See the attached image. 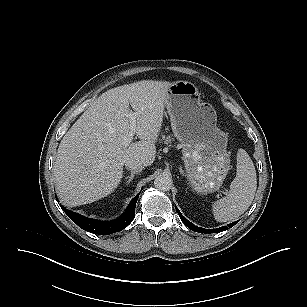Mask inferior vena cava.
<instances>
[{"label": "inferior vena cava", "instance_id": "inferior-vena-cava-1", "mask_svg": "<svg viewBox=\"0 0 307 307\" xmlns=\"http://www.w3.org/2000/svg\"><path fill=\"white\" fill-rule=\"evenodd\" d=\"M125 166L126 168L130 169L131 171L134 172H141L144 169V164L143 162L135 159H128L125 161Z\"/></svg>", "mask_w": 307, "mask_h": 307}]
</instances>
